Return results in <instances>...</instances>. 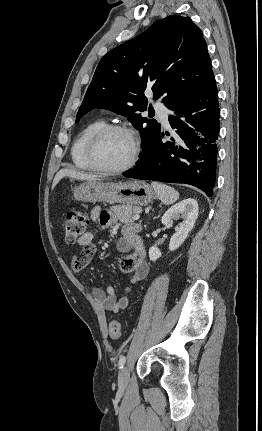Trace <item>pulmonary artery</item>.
<instances>
[{"label":"pulmonary artery","mask_w":262,"mask_h":431,"mask_svg":"<svg viewBox=\"0 0 262 431\" xmlns=\"http://www.w3.org/2000/svg\"><path fill=\"white\" fill-rule=\"evenodd\" d=\"M158 113L160 115L162 123L168 127L169 121H168V109L163 104H157L156 105Z\"/></svg>","instance_id":"pulmonary-artery-1"}]
</instances>
